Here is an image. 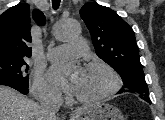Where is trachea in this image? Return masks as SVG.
<instances>
[{"instance_id":"3493384b","label":"trachea","mask_w":165,"mask_h":120,"mask_svg":"<svg viewBox=\"0 0 165 120\" xmlns=\"http://www.w3.org/2000/svg\"><path fill=\"white\" fill-rule=\"evenodd\" d=\"M61 0H52L53 8L56 10L60 5Z\"/></svg>"}]
</instances>
